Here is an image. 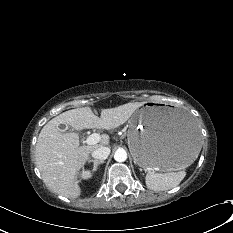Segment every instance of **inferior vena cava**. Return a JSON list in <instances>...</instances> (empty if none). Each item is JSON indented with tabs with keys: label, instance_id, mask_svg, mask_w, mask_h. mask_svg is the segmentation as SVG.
I'll return each instance as SVG.
<instances>
[{
	"label": "inferior vena cava",
	"instance_id": "inferior-vena-cava-1",
	"mask_svg": "<svg viewBox=\"0 0 233 233\" xmlns=\"http://www.w3.org/2000/svg\"><path fill=\"white\" fill-rule=\"evenodd\" d=\"M110 154V148L101 146L92 152V157L98 160H105Z\"/></svg>",
	"mask_w": 233,
	"mask_h": 233
}]
</instances>
